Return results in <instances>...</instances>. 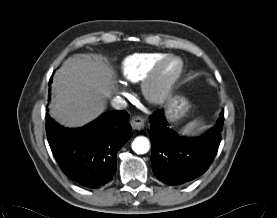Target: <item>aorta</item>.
Returning <instances> with one entry per match:
<instances>
[{
  "label": "aorta",
  "mask_w": 277,
  "mask_h": 218,
  "mask_svg": "<svg viewBox=\"0 0 277 218\" xmlns=\"http://www.w3.org/2000/svg\"><path fill=\"white\" fill-rule=\"evenodd\" d=\"M132 149L137 154H145L150 149V142L144 136H138L132 143Z\"/></svg>",
  "instance_id": "762f6f07"
}]
</instances>
